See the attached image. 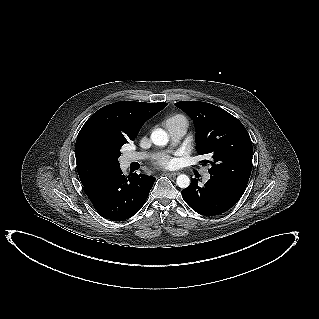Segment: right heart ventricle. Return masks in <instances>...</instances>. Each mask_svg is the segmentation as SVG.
I'll return each instance as SVG.
<instances>
[{
    "mask_svg": "<svg viewBox=\"0 0 319 319\" xmlns=\"http://www.w3.org/2000/svg\"><path fill=\"white\" fill-rule=\"evenodd\" d=\"M175 120L183 121V122L186 123L185 118H184L183 116H181V115L173 116V117L169 118V119L167 120V122H168V121H175Z\"/></svg>",
    "mask_w": 319,
    "mask_h": 319,
    "instance_id": "right-heart-ventricle-1",
    "label": "right heart ventricle"
}]
</instances>
